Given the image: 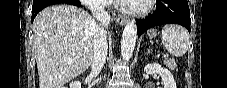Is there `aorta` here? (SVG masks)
<instances>
[{
  "instance_id": "1",
  "label": "aorta",
  "mask_w": 227,
  "mask_h": 88,
  "mask_svg": "<svg viewBox=\"0 0 227 88\" xmlns=\"http://www.w3.org/2000/svg\"><path fill=\"white\" fill-rule=\"evenodd\" d=\"M136 38L137 27L135 21H130L125 25L121 39V55L126 61H129L133 55Z\"/></svg>"
}]
</instances>
